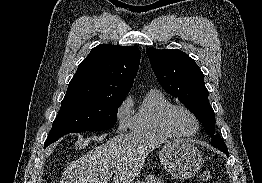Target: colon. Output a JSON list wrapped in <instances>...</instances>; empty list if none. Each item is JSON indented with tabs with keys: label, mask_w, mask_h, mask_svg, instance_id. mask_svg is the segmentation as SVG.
<instances>
[{
	"label": "colon",
	"mask_w": 262,
	"mask_h": 183,
	"mask_svg": "<svg viewBox=\"0 0 262 183\" xmlns=\"http://www.w3.org/2000/svg\"><path fill=\"white\" fill-rule=\"evenodd\" d=\"M199 180L202 182H208L211 179V171L210 170H202L199 172Z\"/></svg>",
	"instance_id": "colon-1"
}]
</instances>
